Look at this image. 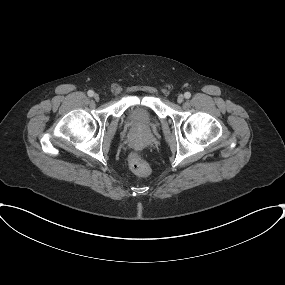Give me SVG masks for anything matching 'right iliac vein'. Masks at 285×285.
Listing matches in <instances>:
<instances>
[{
  "label": "right iliac vein",
  "mask_w": 285,
  "mask_h": 285,
  "mask_svg": "<svg viewBox=\"0 0 285 285\" xmlns=\"http://www.w3.org/2000/svg\"><path fill=\"white\" fill-rule=\"evenodd\" d=\"M93 97H94V99H95L96 101H99V99H100V97H99L98 94H94Z\"/></svg>",
  "instance_id": "63e3f726"
}]
</instances>
